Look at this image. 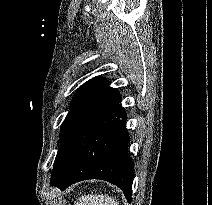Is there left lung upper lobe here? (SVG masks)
<instances>
[{
	"label": "left lung upper lobe",
	"mask_w": 212,
	"mask_h": 205,
	"mask_svg": "<svg viewBox=\"0 0 212 205\" xmlns=\"http://www.w3.org/2000/svg\"><path fill=\"white\" fill-rule=\"evenodd\" d=\"M108 88L109 83L101 76L94 77L79 87L71 103L70 111L61 125V145L55 158L50 184L57 179L60 173L64 159L80 123Z\"/></svg>",
	"instance_id": "1"
}]
</instances>
